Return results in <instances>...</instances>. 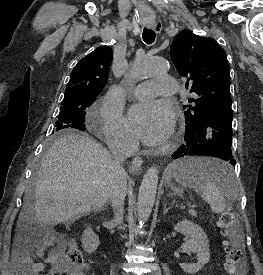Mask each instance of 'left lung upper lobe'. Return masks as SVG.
Segmentation results:
<instances>
[{"label": "left lung upper lobe", "instance_id": "1", "mask_svg": "<svg viewBox=\"0 0 263 275\" xmlns=\"http://www.w3.org/2000/svg\"><path fill=\"white\" fill-rule=\"evenodd\" d=\"M170 56L178 73L188 77L186 87L190 81L191 92L198 95L188 101L194 106H184L187 129L198 126L216 108L231 105L227 55L214 39L181 31L171 45Z\"/></svg>", "mask_w": 263, "mask_h": 275}]
</instances>
